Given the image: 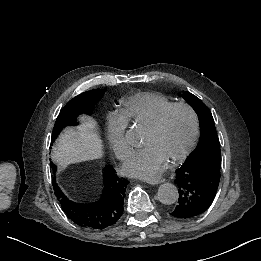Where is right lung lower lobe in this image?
Returning <instances> with one entry per match:
<instances>
[{"mask_svg": "<svg viewBox=\"0 0 261 261\" xmlns=\"http://www.w3.org/2000/svg\"><path fill=\"white\" fill-rule=\"evenodd\" d=\"M102 198L94 203L78 204L69 200L53 179V188L65 214L75 224L87 229H104L116 223L123 214L128 181L116 175L111 166L104 168Z\"/></svg>", "mask_w": 261, "mask_h": 261, "instance_id": "1", "label": "right lung lower lobe"}]
</instances>
